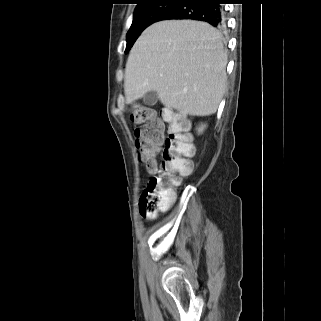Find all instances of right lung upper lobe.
Masks as SVG:
<instances>
[{
	"mask_svg": "<svg viewBox=\"0 0 321 321\" xmlns=\"http://www.w3.org/2000/svg\"><path fill=\"white\" fill-rule=\"evenodd\" d=\"M149 1H152V0H138V5H141V4L149 2ZM176 1H182V0H176Z\"/></svg>",
	"mask_w": 321,
	"mask_h": 321,
	"instance_id": "cb5924a9",
	"label": "right lung upper lobe"
}]
</instances>
